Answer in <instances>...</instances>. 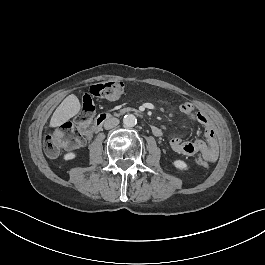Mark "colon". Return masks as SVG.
<instances>
[{
    "instance_id": "5ec220e1",
    "label": "colon",
    "mask_w": 265,
    "mask_h": 265,
    "mask_svg": "<svg viewBox=\"0 0 265 265\" xmlns=\"http://www.w3.org/2000/svg\"><path fill=\"white\" fill-rule=\"evenodd\" d=\"M125 90V84L121 80L98 82L92 85L82 102L83 110L75 117L74 121H68L51 130L46 135L44 138V150L46 154L50 157H56L61 153V146L76 144L78 142L80 136L75 129V124L83 125L90 121L88 114L95 110L93 98L117 100L123 96ZM196 163L199 166L205 167L211 163V159L207 161L204 156H198Z\"/></svg>"
}]
</instances>
